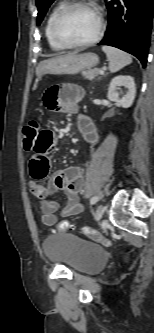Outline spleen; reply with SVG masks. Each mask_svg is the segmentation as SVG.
I'll use <instances>...</instances> for the list:
<instances>
[{"label":"spleen","instance_id":"spleen-1","mask_svg":"<svg viewBox=\"0 0 154 333\" xmlns=\"http://www.w3.org/2000/svg\"><path fill=\"white\" fill-rule=\"evenodd\" d=\"M102 50L109 61V70L111 73H115L132 63V57L124 51L110 46H103Z\"/></svg>","mask_w":154,"mask_h":333}]
</instances>
